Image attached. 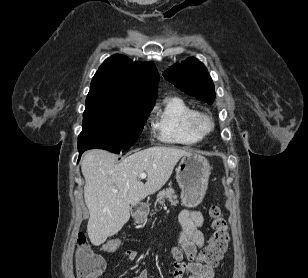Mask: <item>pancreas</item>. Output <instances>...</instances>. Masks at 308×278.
<instances>
[{
	"instance_id": "cf45deb5",
	"label": "pancreas",
	"mask_w": 308,
	"mask_h": 278,
	"mask_svg": "<svg viewBox=\"0 0 308 278\" xmlns=\"http://www.w3.org/2000/svg\"><path fill=\"white\" fill-rule=\"evenodd\" d=\"M168 199L171 205H177V195L175 194V191L173 188H166L160 191L157 195V200L155 202V205L157 203H160L161 205L165 204V200Z\"/></svg>"
}]
</instances>
